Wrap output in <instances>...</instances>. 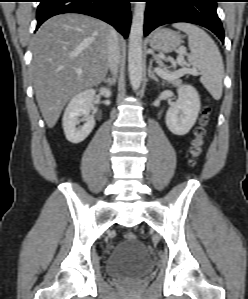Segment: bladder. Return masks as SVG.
<instances>
[{
    "label": "bladder",
    "instance_id": "bladder-1",
    "mask_svg": "<svg viewBox=\"0 0 248 299\" xmlns=\"http://www.w3.org/2000/svg\"><path fill=\"white\" fill-rule=\"evenodd\" d=\"M152 268V261L141 241L119 243L105 262L106 274L115 278L142 277Z\"/></svg>",
    "mask_w": 248,
    "mask_h": 299
}]
</instances>
